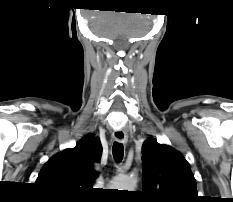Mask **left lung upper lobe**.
I'll return each mask as SVG.
<instances>
[{
    "label": "left lung upper lobe",
    "instance_id": "obj_1",
    "mask_svg": "<svg viewBox=\"0 0 233 202\" xmlns=\"http://www.w3.org/2000/svg\"><path fill=\"white\" fill-rule=\"evenodd\" d=\"M146 202H197V186L188 162L175 149L149 138L142 145Z\"/></svg>",
    "mask_w": 233,
    "mask_h": 202
}]
</instances>
